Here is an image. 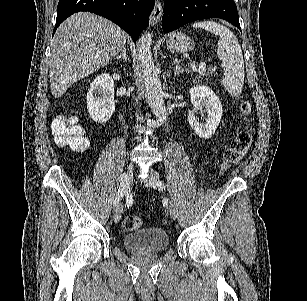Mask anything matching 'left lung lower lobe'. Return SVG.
<instances>
[{
    "label": "left lung lower lobe",
    "mask_w": 307,
    "mask_h": 301,
    "mask_svg": "<svg viewBox=\"0 0 307 301\" xmlns=\"http://www.w3.org/2000/svg\"><path fill=\"white\" fill-rule=\"evenodd\" d=\"M162 27L165 33L200 19L221 18L240 28L233 0H166Z\"/></svg>",
    "instance_id": "left-lung-lower-lobe-1"
}]
</instances>
